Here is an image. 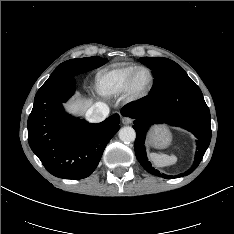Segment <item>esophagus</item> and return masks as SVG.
<instances>
[{
    "mask_svg": "<svg viewBox=\"0 0 234 234\" xmlns=\"http://www.w3.org/2000/svg\"><path fill=\"white\" fill-rule=\"evenodd\" d=\"M121 121L124 125H129L133 122V119L129 116H122Z\"/></svg>",
    "mask_w": 234,
    "mask_h": 234,
    "instance_id": "esophagus-1",
    "label": "esophagus"
}]
</instances>
